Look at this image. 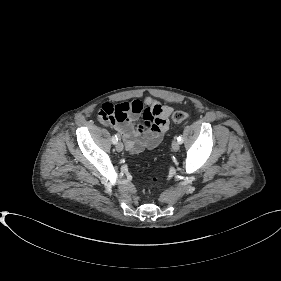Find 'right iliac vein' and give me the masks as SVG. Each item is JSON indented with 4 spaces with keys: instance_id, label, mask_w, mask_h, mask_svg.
<instances>
[{
    "instance_id": "63e3f726",
    "label": "right iliac vein",
    "mask_w": 281,
    "mask_h": 281,
    "mask_svg": "<svg viewBox=\"0 0 281 281\" xmlns=\"http://www.w3.org/2000/svg\"><path fill=\"white\" fill-rule=\"evenodd\" d=\"M115 147H116V150H117L118 152H121V151L123 150V144H122V142H117L116 145H115Z\"/></svg>"
}]
</instances>
